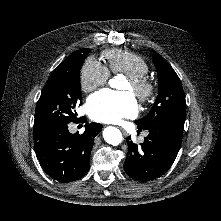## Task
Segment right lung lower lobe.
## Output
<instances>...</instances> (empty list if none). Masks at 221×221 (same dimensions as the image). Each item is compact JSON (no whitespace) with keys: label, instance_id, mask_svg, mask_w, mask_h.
<instances>
[{"label":"right lung lower lobe","instance_id":"obj_1","mask_svg":"<svg viewBox=\"0 0 221 221\" xmlns=\"http://www.w3.org/2000/svg\"><path fill=\"white\" fill-rule=\"evenodd\" d=\"M75 122H86L85 117ZM99 123H86L85 132L71 134L68 124L56 125L34 136V149L43 170L53 179L70 182L83 177L90 167L94 138L101 131Z\"/></svg>","mask_w":221,"mask_h":221}]
</instances>
